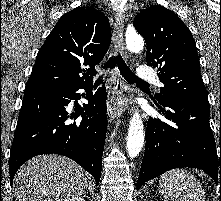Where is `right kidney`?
I'll list each match as a JSON object with an SVG mask.
<instances>
[{
  "label": "right kidney",
  "instance_id": "1",
  "mask_svg": "<svg viewBox=\"0 0 221 201\" xmlns=\"http://www.w3.org/2000/svg\"><path fill=\"white\" fill-rule=\"evenodd\" d=\"M67 201H85V200L82 197H74V198L68 199Z\"/></svg>",
  "mask_w": 221,
  "mask_h": 201
}]
</instances>
